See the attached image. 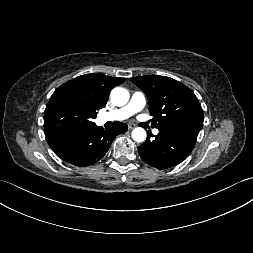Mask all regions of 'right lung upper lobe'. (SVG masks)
<instances>
[{"mask_svg": "<svg viewBox=\"0 0 253 253\" xmlns=\"http://www.w3.org/2000/svg\"><path fill=\"white\" fill-rule=\"evenodd\" d=\"M125 80L101 73L85 74L64 83L58 89L74 92L85 104L97 111L105 107L111 89Z\"/></svg>", "mask_w": 253, "mask_h": 253, "instance_id": "right-lung-upper-lobe-1", "label": "right lung upper lobe"}]
</instances>
